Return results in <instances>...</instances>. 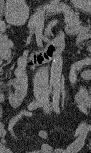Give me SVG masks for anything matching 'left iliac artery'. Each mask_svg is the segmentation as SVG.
I'll return each mask as SVG.
<instances>
[{"label": "left iliac artery", "instance_id": "obj_1", "mask_svg": "<svg viewBox=\"0 0 91 153\" xmlns=\"http://www.w3.org/2000/svg\"><path fill=\"white\" fill-rule=\"evenodd\" d=\"M59 99H60L59 88L56 87L55 92H54V96H53V100H52L53 108L56 113H60Z\"/></svg>", "mask_w": 91, "mask_h": 153}]
</instances>
